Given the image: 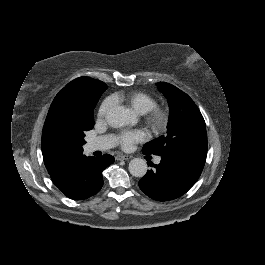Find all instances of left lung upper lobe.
I'll return each instance as SVG.
<instances>
[{
	"mask_svg": "<svg viewBox=\"0 0 265 265\" xmlns=\"http://www.w3.org/2000/svg\"><path fill=\"white\" fill-rule=\"evenodd\" d=\"M157 86L169 103L167 134L146 143L143 153L160 156L184 152L206 154L205 121L193 100L171 84L159 82Z\"/></svg>",
	"mask_w": 265,
	"mask_h": 265,
	"instance_id": "left-lung-upper-lobe-1",
	"label": "left lung upper lobe"
}]
</instances>
